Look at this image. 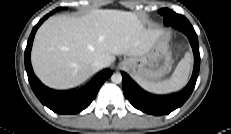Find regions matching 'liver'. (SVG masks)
<instances>
[{"instance_id":"liver-1","label":"liver","mask_w":231,"mask_h":134,"mask_svg":"<svg viewBox=\"0 0 231 134\" xmlns=\"http://www.w3.org/2000/svg\"><path fill=\"white\" fill-rule=\"evenodd\" d=\"M163 34L146 28L132 12L95 9L81 17L53 16L38 29L32 65L47 86L70 89L96 71L94 61L110 66L115 55L139 56Z\"/></svg>"}]
</instances>
